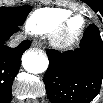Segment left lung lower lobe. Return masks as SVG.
<instances>
[{
  "mask_svg": "<svg viewBox=\"0 0 103 103\" xmlns=\"http://www.w3.org/2000/svg\"><path fill=\"white\" fill-rule=\"evenodd\" d=\"M49 67L44 76L52 103H89L103 81V41L96 25L86 29L75 51L48 49Z\"/></svg>",
  "mask_w": 103,
  "mask_h": 103,
  "instance_id": "1",
  "label": "left lung lower lobe"
}]
</instances>
